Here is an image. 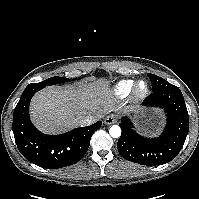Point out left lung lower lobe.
<instances>
[{"label":"left lung lower lobe","mask_w":199,"mask_h":199,"mask_svg":"<svg viewBox=\"0 0 199 199\" xmlns=\"http://www.w3.org/2000/svg\"><path fill=\"white\" fill-rule=\"evenodd\" d=\"M150 107H162L167 113V125L158 138H144L135 132L127 117L121 119L122 134L117 143L120 155L132 162L156 166L177 156L189 131V117L179 88L150 94L144 101Z\"/></svg>","instance_id":"0a47b994"}]
</instances>
